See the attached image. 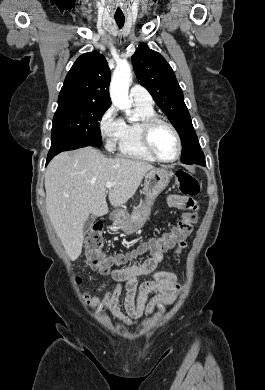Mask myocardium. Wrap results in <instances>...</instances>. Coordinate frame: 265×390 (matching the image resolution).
<instances>
[{"label":"myocardium","mask_w":265,"mask_h":390,"mask_svg":"<svg viewBox=\"0 0 265 390\" xmlns=\"http://www.w3.org/2000/svg\"><path fill=\"white\" fill-rule=\"evenodd\" d=\"M158 124H163V125L167 126L172 131V133L176 139L177 152L172 159L162 158L153 147L151 135H152L153 129ZM140 136H141V141H142V144H143L145 150L155 160L162 162V163H173L179 159L181 152H182V141H181L180 135H179L176 127L168 120H166L158 115H152L150 117L145 118L140 123Z\"/></svg>","instance_id":"obj_1"}]
</instances>
